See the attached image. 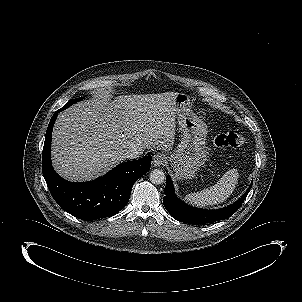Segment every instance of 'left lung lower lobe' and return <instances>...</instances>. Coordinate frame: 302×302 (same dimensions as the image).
<instances>
[{"mask_svg":"<svg viewBox=\"0 0 302 302\" xmlns=\"http://www.w3.org/2000/svg\"><path fill=\"white\" fill-rule=\"evenodd\" d=\"M252 183L244 195L234 204L217 210H204L191 207L174 195V187L170 177L166 178L165 196L163 197V204L166 210L173 218L180 222L201 224L211 223L226 219L232 216L242 205L244 199L248 195Z\"/></svg>","mask_w":302,"mask_h":302,"instance_id":"left-lung-lower-lobe-1","label":"left lung lower lobe"}]
</instances>
